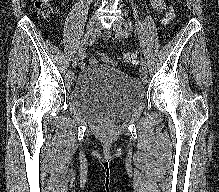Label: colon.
<instances>
[{"label":"colon","instance_id":"obj_1","mask_svg":"<svg viewBox=\"0 0 219 192\" xmlns=\"http://www.w3.org/2000/svg\"><path fill=\"white\" fill-rule=\"evenodd\" d=\"M34 7L41 17H48L52 15L56 7L52 3V0H34ZM175 19V12L173 8H169L168 11L165 14L164 22L165 24H170ZM106 61L113 63V61L105 59ZM122 61L124 64L131 65L135 64L137 62V55L135 52H126L122 56ZM91 63H94L93 60H91Z\"/></svg>","mask_w":219,"mask_h":192}]
</instances>
